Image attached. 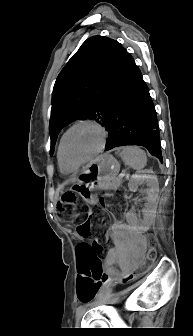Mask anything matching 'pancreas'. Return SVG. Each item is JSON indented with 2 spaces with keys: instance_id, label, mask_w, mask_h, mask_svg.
<instances>
[{
  "instance_id": "cf45deb5",
  "label": "pancreas",
  "mask_w": 193,
  "mask_h": 336,
  "mask_svg": "<svg viewBox=\"0 0 193 336\" xmlns=\"http://www.w3.org/2000/svg\"><path fill=\"white\" fill-rule=\"evenodd\" d=\"M122 184V178L116 177L112 182L107 186L106 193L112 195L114 191Z\"/></svg>"
}]
</instances>
